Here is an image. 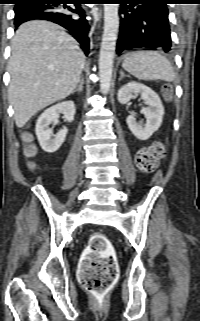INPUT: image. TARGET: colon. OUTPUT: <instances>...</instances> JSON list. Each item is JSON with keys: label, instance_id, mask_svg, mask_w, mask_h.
I'll use <instances>...</instances> for the list:
<instances>
[{"label": "colon", "instance_id": "5ec220e1", "mask_svg": "<svg viewBox=\"0 0 200 321\" xmlns=\"http://www.w3.org/2000/svg\"><path fill=\"white\" fill-rule=\"evenodd\" d=\"M166 96L170 97L169 88H166ZM25 153L29 157L33 156L35 147L28 144ZM164 156L163 144L153 143L137 153V167L143 173H151L157 168ZM117 273L115 251L111 242L103 233H94L89 239L88 247L80 263L79 279L81 284L93 295L102 297L110 289Z\"/></svg>", "mask_w": 200, "mask_h": 321}]
</instances>
